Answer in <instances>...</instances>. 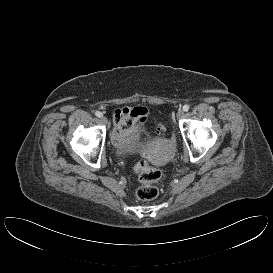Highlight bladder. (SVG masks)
<instances>
[{
    "mask_svg": "<svg viewBox=\"0 0 273 273\" xmlns=\"http://www.w3.org/2000/svg\"><path fill=\"white\" fill-rule=\"evenodd\" d=\"M140 144H141L140 142L129 143L122 149V152L125 154L132 153V152L136 151L137 149H139Z\"/></svg>",
    "mask_w": 273,
    "mask_h": 273,
    "instance_id": "bladder-1",
    "label": "bladder"
}]
</instances>
